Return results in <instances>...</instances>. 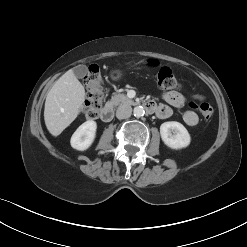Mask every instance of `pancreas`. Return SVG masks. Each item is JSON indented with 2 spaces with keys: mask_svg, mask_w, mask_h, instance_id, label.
Segmentation results:
<instances>
[{
  "mask_svg": "<svg viewBox=\"0 0 247 247\" xmlns=\"http://www.w3.org/2000/svg\"><path fill=\"white\" fill-rule=\"evenodd\" d=\"M114 106L122 105V104H128L133 105L134 102L129 99L125 94H115L112 96L110 101Z\"/></svg>",
  "mask_w": 247,
  "mask_h": 247,
  "instance_id": "obj_1",
  "label": "pancreas"
}]
</instances>
